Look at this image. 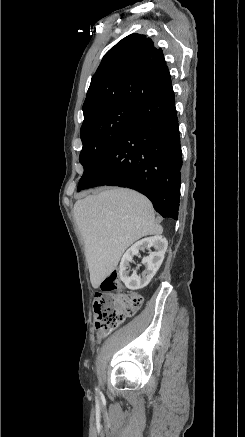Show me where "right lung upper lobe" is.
Masks as SVG:
<instances>
[{
    "label": "right lung upper lobe",
    "instance_id": "right-lung-upper-lobe-1",
    "mask_svg": "<svg viewBox=\"0 0 245 437\" xmlns=\"http://www.w3.org/2000/svg\"><path fill=\"white\" fill-rule=\"evenodd\" d=\"M173 92L162 49L145 35L131 34L113 46L92 76L83 105L84 117L92 110L116 102L139 106Z\"/></svg>",
    "mask_w": 245,
    "mask_h": 437
}]
</instances>
